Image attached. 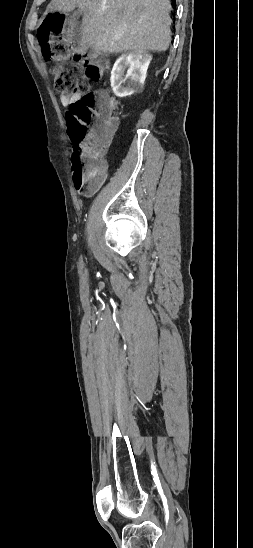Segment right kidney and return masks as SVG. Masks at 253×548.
<instances>
[{"instance_id":"ca27d5eb","label":"right kidney","mask_w":253,"mask_h":548,"mask_svg":"<svg viewBox=\"0 0 253 548\" xmlns=\"http://www.w3.org/2000/svg\"><path fill=\"white\" fill-rule=\"evenodd\" d=\"M152 56L146 51H134L121 55L111 71V87L117 97L131 96L143 89ZM127 73L124 76L125 69Z\"/></svg>"}]
</instances>
